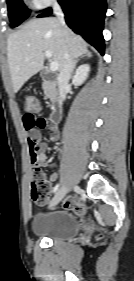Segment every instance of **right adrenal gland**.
Here are the masks:
<instances>
[{"instance_id": "right-adrenal-gland-1", "label": "right adrenal gland", "mask_w": 134, "mask_h": 281, "mask_svg": "<svg viewBox=\"0 0 134 281\" xmlns=\"http://www.w3.org/2000/svg\"><path fill=\"white\" fill-rule=\"evenodd\" d=\"M90 57H92V54L89 52V51H87L86 53H84L79 59H77L76 61H75V63H74V68H73V72H74V69L76 68V66H77V63L80 61V59H83V58H90ZM72 72V73H73Z\"/></svg>"}]
</instances>
